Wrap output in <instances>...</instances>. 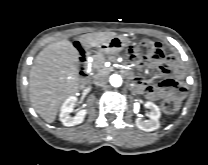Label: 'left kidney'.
Segmentation results:
<instances>
[{"mask_svg": "<svg viewBox=\"0 0 208 165\" xmlns=\"http://www.w3.org/2000/svg\"><path fill=\"white\" fill-rule=\"evenodd\" d=\"M144 106L149 109V120L143 121L141 118H137L135 120L136 126L143 131H154L160 126V109L152 102H146Z\"/></svg>", "mask_w": 208, "mask_h": 165, "instance_id": "1", "label": "left kidney"}]
</instances>
